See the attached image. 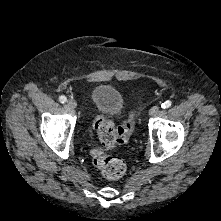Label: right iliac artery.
Segmentation results:
<instances>
[{"instance_id": "right-iliac-artery-1", "label": "right iliac artery", "mask_w": 221, "mask_h": 221, "mask_svg": "<svg viewBox=\"0 0 221 221\" xmlns=\"http://www.w3.org/2000/svg\"><path fill=\"white\" fill-rule=\"evenodd\" d=\"M59 101L64 104V103L67 102V98H66L64 95H61V96L59 97Z\"/></svg>"}]
</instances>
